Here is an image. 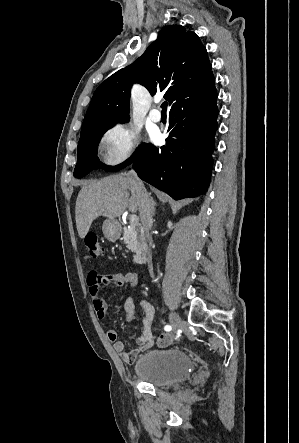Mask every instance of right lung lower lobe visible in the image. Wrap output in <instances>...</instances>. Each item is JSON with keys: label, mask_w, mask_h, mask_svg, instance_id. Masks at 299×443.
Here are the masks:
<instances>
[{"label": "right lung lower lobe", "mask_w": 299, "mask_h": 443, "mask_svg": "<svg viewBox=\"0 0 299 443\" xmlns=\"http://www.w3.org/2000/svg\"><path fill=\"white\" fill-rule=\"evenodd\" d=\"M216 100L211 73L171 104L166 145L147 144L132 162L142 180L176 200L207 191L217 130Z\"/></svg>", "instance_id": "obj_1"}]
</instances>
